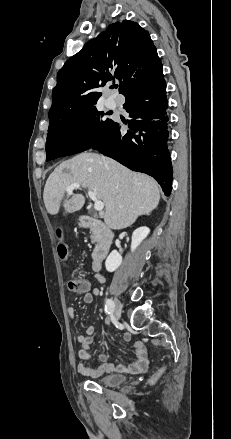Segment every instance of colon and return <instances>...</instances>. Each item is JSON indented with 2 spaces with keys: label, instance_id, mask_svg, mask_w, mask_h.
<instances>
[{
  "label": "colon",
  "instance_id": "colon-1",
  "mask_svg": "<svg viewBox=\"0 0 231 439\" xmlns=\"http://www.w3.org/2000/svg\"><path fill=\"white\" fill-rule=\"evenodd\" d=\"M58 235L59 237L62 236L60 231L58 232ZM58 253L62 259L68 258L69 252L64 244L59 245ZM68 288L70 291L80 294V293H84L89 288V283L87 280L83 278H73L68 281ZM163 371L164 369L158 370L154 375L150 377L149 381L150 382L156 381L161 376Z\"/></svg>",
  "mask_w": 231,
  "mask_h": 439
}]
</instances>
